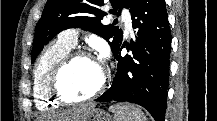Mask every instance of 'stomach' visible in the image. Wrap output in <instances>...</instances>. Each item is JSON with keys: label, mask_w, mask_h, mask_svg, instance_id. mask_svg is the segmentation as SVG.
<instances>
[{"label": "stomach", "mask_w": 217, "mask_h": 121, "mask_svg": "<svg viewBox=\"0 0 217 121\" xmlns=\"http://www.w3.org/2000/svg\"><path fill=\"white\" fill-rule=\"evenodd\" d=\"M83 121H112L111 115L102 109H92L84 118Z\"/></svg>", "instance_id": "1"}]
</instances>
